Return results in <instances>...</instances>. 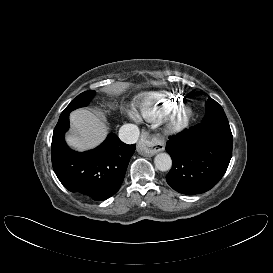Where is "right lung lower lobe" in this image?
<instances>
[{"mask_svg": "<svg viewBox=\"0 0 273 273\" xmlns=\"http://www.w3.org/2000/svg\"><path fill=\"white\" fill-rule=\"evenodd\" d=\"M69 128V114L61 116L54 129L51 154L54 172L71 192L105 200L120 188L135 145L123 143L109 134L97 148L87 152L71 150L64 140Z\"/></svg>", "mask_w": 273, "mask_h": 273, "instance_id": "98d812e1", "label": "right lung lower lobe"}]
</instances>
